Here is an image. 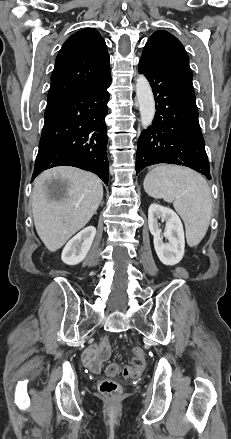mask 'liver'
Wrapping results in <instances>:
<instances>
[{
	"label": "liver",
	"mask_w": 231,
	"mask_h": 439,
	"mask_svg": "<svg viewBox=\"0 0 231 439\" xmlns=\"http://www.w3.org/2000/svg\"><path fill=\"white\" fill-rule=\"evenodd\" d=\"M55 178L65 181L61 195L49 188ZM103 198L101 180L73 168L54 167L43 171L34 182L32 212L40 239L50 252L60 249L95 214Z\"/></svg>",
	"instance_id": "6515ba94"
}]
</instances>
